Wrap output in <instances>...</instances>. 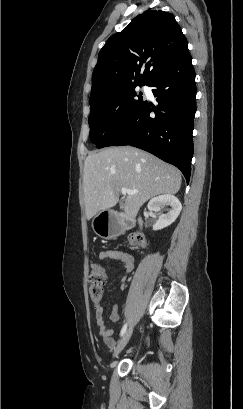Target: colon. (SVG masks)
I'll return each instance as SVG.
<instances>
[{
    "mask_svg": "<svg viewBox=\"0 0 243 409\" xmlns=\"http://www.w3.org/2000/svg\"><path fill=\"white\" fill-rule=\"evenodd\" d=\"M134 240H140L143 244H146L141 237L132 238V241ZM104 282L105 275L102 267L96 264L93 265L89 274L88 287L92 300L97 303L102 299Z\"/></svg>",
    "mask_w": 243,
    "mask_h": 409,
    "instance_id": "colon-1",
    "label": "colon"
}]
</instances>
